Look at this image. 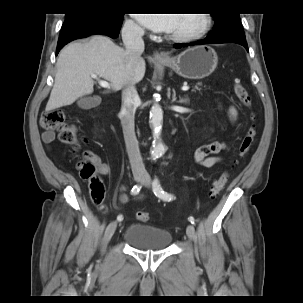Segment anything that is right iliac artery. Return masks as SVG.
<instances>
[{"instance_id":"right-iliac-artery-1","label":"right iliac artery","mask_w":303,"mask_h":303,"mask_svg":"<svg viewBox=\"0 0 303 303\" xmlns=\"http://www.w3.org/2000/svg\"><path fill=\"white\" fill-rule=\"evenodd\" d=\"M140 189H141V185H139V184L134 185L133 188L131 189V194H132V195L138 194L139 191H140ZM117 220H118V221H122V220H123V216H122V215H119V216L117 217Z\"/></svg>"}]
</instances>
